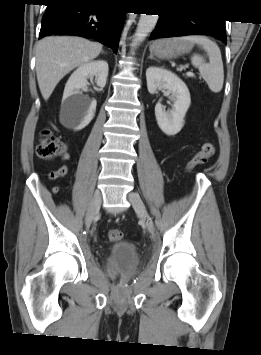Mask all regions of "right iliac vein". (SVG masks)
Listing matches in <instances>:
<instances>
[{
	"mask_svg": "<svg viewBox=\"0 0 261 355\" xmlns=\"http://www.w3.org/2000/svg\"><path fill=\"white\" fill-rule=\"evenodd\" d=\"M101 199H102V197H101L100 191L96 190L94 193V196L91 200L88 211L86 213V217H85L86 227H89L91 225L94 217L98 214V212L100 210Z\"/></svg>",
	"mask_w": 261,
	"mask_h": 355,
	"instance_id": "right-iliac-vein-1",
	"label": "right iliac vein"
}]
</instances>
